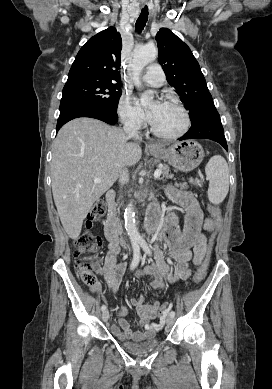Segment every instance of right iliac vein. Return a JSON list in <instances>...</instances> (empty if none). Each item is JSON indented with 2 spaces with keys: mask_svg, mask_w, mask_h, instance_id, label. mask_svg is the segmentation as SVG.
<instances>
[{
  "mask_svg": "<svg viewBox=\"0 0 272 389\" xmlns=\"http://www.w3.org/2000/svg\"><path fill=\"white\" fill-rule=\"evenodd\" d=\"M102 319H103V321H108V319H109V312H108V310H105V311H103V313H102Z\"/></svg>",
  "mask_w": 272,
  "mask_h": 389,
  "instance_id": "63e3f726",
  "label": "right iliac vein"
}]
</instances>
